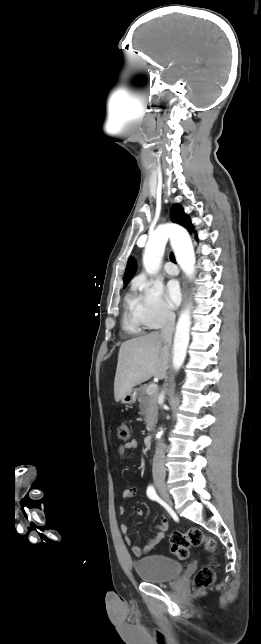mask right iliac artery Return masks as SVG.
Wrapping results in <instances>:
<instances>
[{"label": "right iliac artery", "instance_id": "obj_1", "mask_svg": "<svg viewBox=\"0 0 261 644\" xmlns=\"http://www.w3.org/2000/svg\"><path fill=\"white\" fill-rule=\"evenodd\" d=\"M147 496L151 500H156L158 498V495H157V493L155 491V488L152 485H149L148 488H147Z\"/></svg>", "mask_w": 261, "mask_h": 644}]
</instances>
